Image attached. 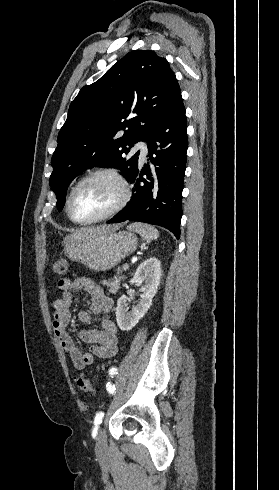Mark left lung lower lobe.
<instances>
[{
  "instance_id": "1",
  "label": "left lung lower lobe",
  "mask_w": 279,
  "mask_h": 490,
  "mask_svg": "<svg viewBox=\"0 0 279 490\" xmlns=\"http://www.w3.org/2000/svg\"><path fill=\"white\" fill-rule=\"evenodd\" d=\"M146 142L149 159L155 165L156 180L151 177L149 164H144L143 168L138 165L129 178L134 185L130 202L107 223L145 222L162 226L179 239L188 148L182 98L154 125ZM143 175L147 178H142Z\"/></svg>"
}]
</instances>
